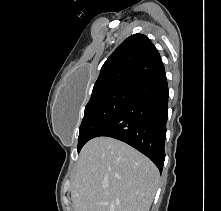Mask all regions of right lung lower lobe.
<instances>
[{
	"label": "right lung lower lobe",
	"mask_w": 221,
	"mask_h": 211,
	"mask_svg": "<svg viewBox=\"0 0 221 211\" xmlns=\"http://www.w3.org/2000/svg\"><path fill=\"white\" fill-rule=\"evenodd\" d=\"M166 75L137 86L96 134L121 140L150 158L162 172L168 106Z\"/></svg>",
	"instance_id": "1"
}]
</instances>
